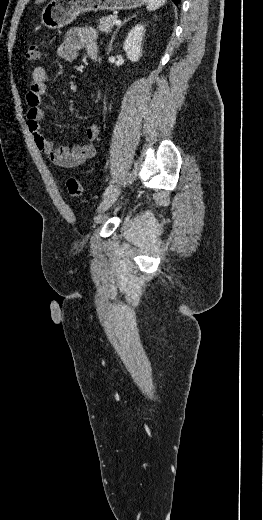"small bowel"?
Masks as SVG:
<instances>
[{
	"label": "small bowel",
	"instance_id": "small-bowel-1",
	"mask_svg": "<svg viewBox=\"0 0 263 520\" xmlns=\"http://www.w3.org/2000/svg\"><path fill=\"white\" fill-rule=\"evenodd\" d=\"M98 34L94 28H71L66 33L63 42L57 47L58 59L72 62L84 50L91 58L93 54L98 56ZM48 73L42 66H37L32 72V82L26 94L28 104L27 126L31 132L38 150L46 155L55 165L64 168H73L83 164L95 154V140L100 133L98 124H91L86 131L87 141L81 145L55 147L54 144L42 133L41 122L45 113L42 108L43 96L48 91Z\"/></svg>",
	"mask_w": 263,
	"mask_h": 520
}]
</instances>
